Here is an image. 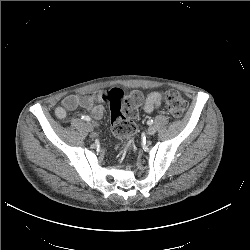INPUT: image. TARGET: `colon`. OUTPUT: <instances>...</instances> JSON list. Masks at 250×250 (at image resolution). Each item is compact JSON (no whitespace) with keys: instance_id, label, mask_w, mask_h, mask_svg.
Instances as JSON below:
<instances>
[{"instance_id":"obj_1","label":"colon","mask_w":250,"mask_h":250,"mask_svg":"<svg viewBox=\"0 0 250 250\" xmlns=\"http://www.w3.org/2000/svg\"><path fill=\"white\" fill-rule=\"evenodd\" d=\"M162 97L168 112L173 117L178 118L184 114L187 102L179 92L167 90L162 93ZM141 98V94L137 91L125 94L118 88L110 89L103 95L104 101L110 107L112 129L117 136L126 139L128 150L135 146L133 136L136 132V127L130 117L136 114Z\"/></svg>"}]
</instances>
